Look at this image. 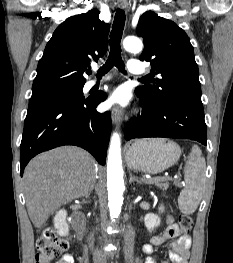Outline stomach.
Instances as JSON below:
<instances>
[{"label": "stomach", "instance_id": "1", "mask_svg": "<svg viewBox=\"0 0 233 263\" xmlns=\"http://www.w3.org/2000/svg\"><path fill=\"white\" fill-rule=\"evenodd\" d=\"M180 155L181 149L173 141L163 138L141 139L129 146L126 160L130 169L156 174L171 167Z\"/></svg>", "mask_w": 233, "mask_h": 263}]
</instances>
